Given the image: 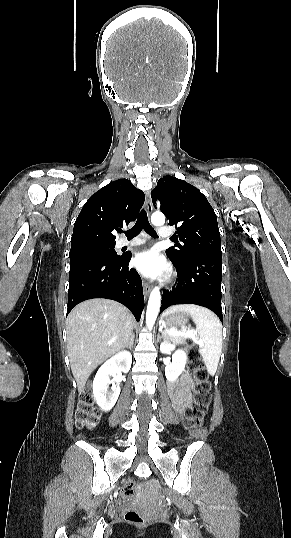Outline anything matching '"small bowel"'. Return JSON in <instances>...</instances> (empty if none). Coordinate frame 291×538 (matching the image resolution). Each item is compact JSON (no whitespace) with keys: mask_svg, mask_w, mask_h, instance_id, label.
<instances>
[{"mask_svg":"<svg viewBox=\"0 0 291 538\" xmlns=\"http://www.w3.org/2000/svg\"><path fill=\"white\" fill-rule=\"evenodd\" d=\"M192 385L193 381L187 374L182 375L180 381L173 385L172 395L178 404L188 400Z\"/></svg>","mask_w":291,"mask_h":538,"instance_id":"small-bowel-1","label":"small bowel"}]
</instances>
